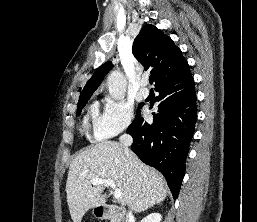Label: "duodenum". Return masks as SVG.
<instances>
[{
  "label": "duodenum",
  "mask_w": 257,
  "mask_h": 222,
  "mask_svg": "<svg viewBox=\"0 0 257 222\" xmlns=\"http://www.w3.org/2000/svg\"><path fill=\"white\" fill-rule=\"evenodd\" d=\"M95 214L99 218H107L111 216L117 222H126L124 210L119 205H99L95 209Z\"/></svg>",
  "instance_id": "obj_1"
}]
</instances>
